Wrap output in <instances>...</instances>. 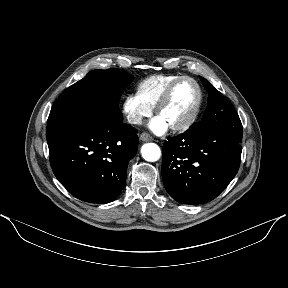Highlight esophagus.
<instances>
[{
  "label": "esophagus",
  "instance_id": "1",
  "mask_svg": "<svg viewBox=\"0 0 288 288\" xmlns=\"http://www.w3.org/2000/svg\"><path fill=\"white\" fill-rule=\"evenodd\" d=\"M140 139H141L142 141H145V142H148V141H152V140H153L152 136H151L150 134L146 133V132H144V133H142V134L140 135Z\"/></svg>",
  "mask_w": 288,
  "mask_h": 288
}]
</instances>
